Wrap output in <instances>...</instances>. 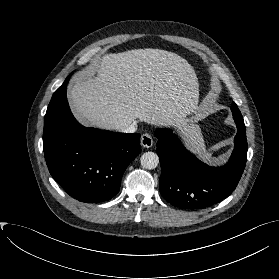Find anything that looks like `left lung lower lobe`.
Wrapping results in <instances>:
<instances>
[{
    "mask_svg": "<svg viewBox=\"0 0 279 279\" xmlns=\"http://www.w3.org/2000/svg\"><path fill=\"white\" fill-rule=\"evenodd\" d=\"M235 123V148L222 167L198 160L169 129L155 131L161 163L160 192L166 201L182 209H205L233 192L244 171L248 149L244 122Z\"/></svg>",
    "mask_w": 279,
    "mask_h": 279,
    "instance_id": "left-lung-lower-lobe-1",
    "label": "left lung lower lobe"
}]
</instances>
